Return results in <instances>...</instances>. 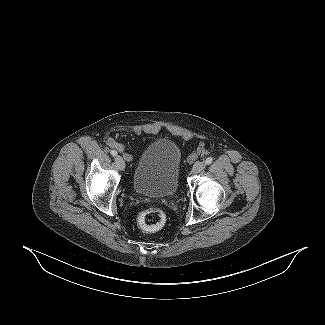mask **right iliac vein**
I'll return each mask as SVG.
<instances>
[{"label":"right iliac vein","mask_w":325,"mask_h":325,"mask_svg":"<svg viewBox=\"0 0 325 325\" xmlns=\"http://www.w3.org/2000/svg\"><path fill=\"white\" fill-rule=\"evenodd\" d=\"M115 163H116L117 167L120 170H124V168H125V161L123 160V158L121 156H116L115 157Z\"/></svg>","instance_id":"63e3f726"}]
</instances>
